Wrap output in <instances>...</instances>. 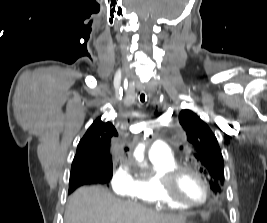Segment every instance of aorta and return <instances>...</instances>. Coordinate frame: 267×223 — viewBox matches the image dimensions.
<instances>
[{
    "label": "aorta",
    "instance_id": "762f6f07",
    "mask_svg": "<svg viewBox=\"0 0 267 223\" xmlns=\"http://www.w3.org/2000/svg\"><path fill=\"white\" fill-rule=\"evenodd\" d=\"M144 150H145L144 144H139L136 147V149L134 151V157L136 158L137 161H139V162L143 161V159H144V155H143Z\"/></svg>",
    "mask_w": 267,
    "mask_h": 223
}]
</instances>
